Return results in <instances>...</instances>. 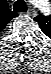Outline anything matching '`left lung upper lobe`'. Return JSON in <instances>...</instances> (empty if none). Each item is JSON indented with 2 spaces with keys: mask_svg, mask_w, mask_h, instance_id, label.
I'll use <instances>...</instances> for the list:
<instances>
[{
  "mask_svg": "<svg viewBox=\"0 0 51 74\" xmlns=\"http://www.w3.org/2000/svg\"><path fill=\"white\" fill-rule=\"evenodd\" d=\"M34 20L37 21L40 26H42L45 18L42 15H38L37 17L34 18Z\"/></svg>",
  "mask_w": 51,
  "mask_h": 74,
  "instance_id": "1",
  "label": "left lung upper lobe"
}]
</instances>
